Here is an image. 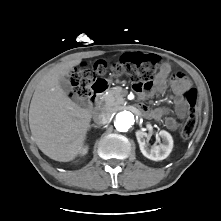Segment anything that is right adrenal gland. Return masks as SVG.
<instances>
[{
  "mask_svg": "<svg viewBox=\"0 0 221 221\" xmlns=\"http://www.w3.org/2000/svg\"><path fill=\"white\" fill-rule=\"evenodd\" d=\"M92 127L98 128V126H97V125H94V124L90 125V128H92Z\"/></svg>",
  "mask_w": 221,
  "mask_h": 221,
  "instance_id": "2a0ac1e0",
  "label": "right adrenal gland"
}]
</instances>
